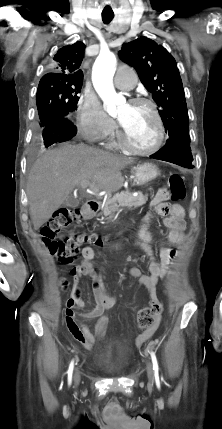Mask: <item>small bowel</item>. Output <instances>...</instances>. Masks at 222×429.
<instances>
[{"label":"small bowel","mask_w":222,"mask_h":429,"mask_svg":"<svg viewBox=\"0 0 222 429\" xmlns=\"http://www.w3.org/2000/svg\"><path fill=\"white\" fill-rule=\"evenodd\" d=\"M165 200L161 191H159L151 202L154 211L163 217L162 224L167 230L160 241L158 257L151 246L153 237L148 228L152 219L151 213H148L143 218L135 240V244L144 251L149 259V274H143L140 268L136 266L128 269V274L137 278L139 284L145 287L151 296L155 295L158 282L165 277L168 266L176 255V251L169 248L167 243L180 244L184 239V209L179 204H169ZM118 248L119 246H116L114 249ZM95 257L96 252L93 248L86 246L82 249V261L71 270L75 282L71 297L67 300L65 306V322L68 330L78 342L88 349L92 348L98 340L104 338L108 328V320L103 318L102 315L106 310L113 307L116 302L115 297L106 289L102 275L92 263ZM81 277H88L91 281L96 302L95 307L91 310H85L78 285V280ZM78 317L84 319L100 318L95 333L92 334ZM156 328L157 326L155 325L138 335L135 339V344L139 346L150 339Z\"/></svg>","instance_id":"c3829d8e"}]
</instances>
